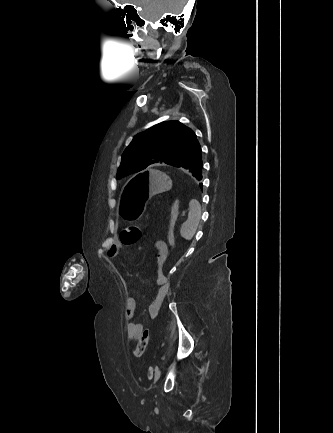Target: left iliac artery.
<instances>
[{
	"instance_id": "1",
	"label": "left iliac artery",
	"mask_w": 333,
	"mask_h": 433,
	"mask_svg": "<svg viewBox=\"0 0 333 433\" xmlns=\"http://www.w3.org/2000/svg\"><path fill=\"white\" fill-rule=\"evenodd\" d=\"M158 370V367H155V371ZM149 371L152 372V367L149 368Z\"/></svg>"
}]
</instances>
